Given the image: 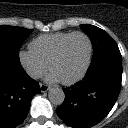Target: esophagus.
Here are the masks:
<instances>
[{
    "label": "esophagus",
    "mask_w": 128,
    "mask_h": 128,
    "mask_svg": "<svg viewBox=\"0 0 128 128\" xmlns=\"http://www.w3.org/2000/svg\"><path fill=\"white\" fill-rule=\"evenodd\" d=\"M50 89V87L46 84H40V90L41 92H47Z\"/></svg>",
    "instance_id": "esophagus-1"
}]
</instances>
